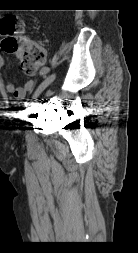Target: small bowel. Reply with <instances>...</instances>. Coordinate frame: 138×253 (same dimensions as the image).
I'll return each instance as SVG.
<instances>
[{"instance_id": "obj_1", "label": "small bowel", "mask_w": 138, "mask_h": 253, "mask_svg": "<svg viewBox=\"0 0 138 253\" xmlns=\"http://www.w3.org/2000/svg\"><path fill=\"white\" fill-rule=\"evenodd\" d=\"M3 64L4 58L2 57V55H0V68L3 66ZM47 71L48 70L46 68H43L40 71V74H46ZM35 85L36 81L34 79L27 80L23 86L19 87H17L12 81H8L5 84V89L7 92L11 93L15 99L22 100L25 98L27 92H30L34 89Z\"/></svg>"}]
</instances>
